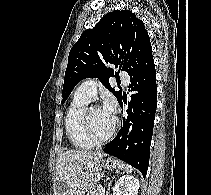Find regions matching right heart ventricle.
Masks as SVG:
<instances>
[{
	"label": "right heart ventricle",
	"instance_id": "right-heart-ventricle-1",
	"mask_svg": "<svg viewBox=\"0 0 211 195\" xmlns=\"http://www.w3.org/2000/svg\"><path fill=\"white\" fill-rule=\"evenodd\" d=\"M90 100L75 93L65 116V130L71 144L77 149H89L91 144L83 131L82 117L83 112Z\"/></svg>",
	"mask_w": 211,
	"mask_h": 195
}]
</instances>
